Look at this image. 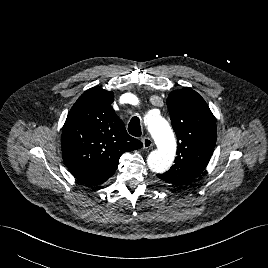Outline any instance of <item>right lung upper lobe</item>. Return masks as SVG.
Returning <instances> with one entry per match:
<instances>
[{
	"mask_svg": "<svg viewBox=\"0 0 268 268\" xmlns=\"http://www.w3.org/2000/svg\"><path fill=\"white\" fill-rule=\"evenodd\" d=\"M113 101V92L90 88L75 102L63 126L64 163L78 181L89 186L107 181L123 153L143 146L128 135L111 106Z\"/></svg>",
	"mask_w": 268,
	"mask_h": 268,
	"instance_id": "cb5924a9",
	"label": "right lung upper lobe"
}]
</instances>
